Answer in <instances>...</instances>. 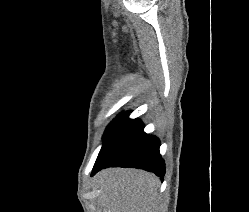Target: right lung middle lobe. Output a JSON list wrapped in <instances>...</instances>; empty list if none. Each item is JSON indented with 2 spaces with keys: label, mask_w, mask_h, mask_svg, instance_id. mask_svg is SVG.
<instances>
[{
  "label": "right lung middle lobe",
  "mask_w": 249,
  "mask_h": 212,
  "mask_svg": "<svg viewBox=\"0 0 249 212\" xmlns=\"http://www.w3.org/2000/svg\"><path fill=\"white\" fill-rule=\"evenodd\" d=\"M119 116L116 117L107 127L104 136L110 131L111 127L113 126V124L118 120Z\"/></svg>",
  "instance_id": "obj_1"
}]
</instances>
